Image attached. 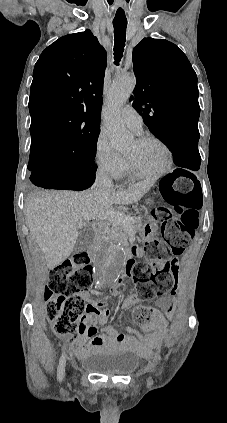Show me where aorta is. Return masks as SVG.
I'll use <instances>...</instances> for the list:
<instances>
[{
  "label": "aorta",
  "instance_id": "aorta-1",
  "mask_svg": "<svg viewBox=\"0 0 227 423\" xmlns=\"http://www.w3.org/2000/svg\"><path fill=\"white\" fill-rule=\"evenodd\" d=\"M136 79L129 75L117 76L107 94L103 123L111 146L117 150L128 147L133 136L121 119V109L134 90ZM124 265L123 246L120 242L103 244L96 252L94 275L100 285L116 282Z\"/></svg>",
  "mask_w": 227,
  "mask_h": 423
}]
</instances>
